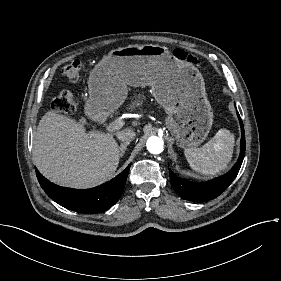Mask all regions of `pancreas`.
Listing matches in <instances>:
<instances>
[{"mask_svg": "<svg viewBox=\"0 0 281 281\" xmlns=\"http://www.w3.org/2000/svg\"><path fill=\"white\" fill-rule=\"evenodd\" d=\"M146 96L142 93L138 94L134 98H132L131 104H129L128 109L134 110L137 107H141L145 104Z\"/></svg>", "mask_w": 281, "mask_h": 281, "instance_id": "pancreas-1", "label": "pancreas"}]
</instances>
